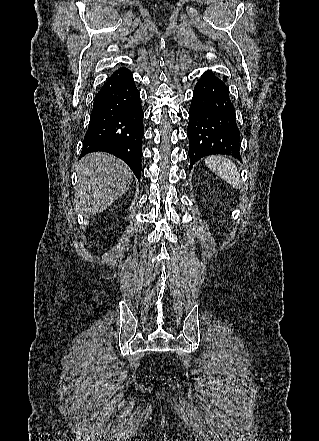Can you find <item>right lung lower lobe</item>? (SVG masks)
<instances>
[{
	"instance_id": "obj_1",
	"label": "right lung lower lobe",
	"mask_w": 319,
	"mask_h": 441,
	"mask_svg": "<svg viewBox=\"0 0 319 441\" xmlns=\"http://www.w3.org/2000/svg\"><path fill=\"white\" fill-rule=\"evenodd\" d=\"M143 110L132 73L117 69L94 98L80 158L102 151L122 159L138 180L141 176Z\"/></svg>"
}]
</instances>
